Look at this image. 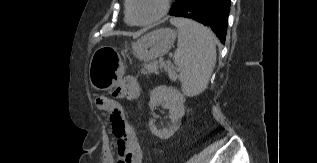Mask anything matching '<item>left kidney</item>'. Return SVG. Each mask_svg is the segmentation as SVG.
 <instances>
[{
  "label": "left kidney",
  "mask_w": 317,
  "mask_h": 163,
  "mask_svg": "<svg viewBox=\"0 0 317 163\" xmlns=\"http://www.w3.org/2000/svg\"><path fill=\"white\" fill-rule=\"evenodd\" d=\"M184 102V95L173 87L160 85L151 91L149 102L151 111L161 104L163 107L169 109L171 123L168 128L158 129L154 120L151 119L149 121V128L153 135L160 139H168L179 129L180 120L185 113Z\"/></svg>",
  "instance_id": "1"
}]
</instances>
